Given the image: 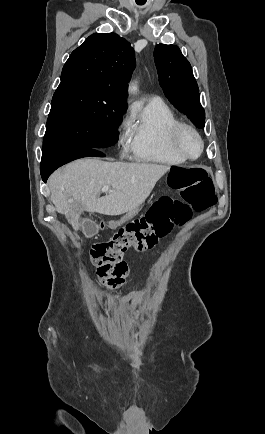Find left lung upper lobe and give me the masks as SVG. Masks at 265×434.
<instances>
[{
	"instance_id": "5c2ea615",
	"label": "left lung upper lobe",
	"mask_w": 265,
	"mask_h": 434,
	"mask_svg": "<svg viewBox=\"0 0 265 434\" xmlns=\"http://www.w3.org/2000/svg\"><path fill=\"white\" fill-rule=\"evenodd\" d=\"M154 59L164 94L196 127L203 128L205 112L190 63L175 45H156Z\"/></svg>"
}]
</instances>
